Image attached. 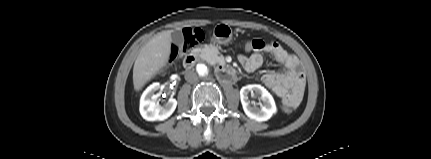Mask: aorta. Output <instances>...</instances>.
<instances>
[{
	"label": "aorta",
	"instance_id": "aorta-1",
	"mask_svg": "<svg viewBox=\"0 0 431 159\" xmlns=\"http://www.w3.org/2000/svg\"><path fill=\"white\" fill-rule=\"evenodd\" d=\"M196 70L201 77H207L209 75V72H210L209 66L205 63L197 64Z\"/></svg>",
	"mask_w": 431,
	"mask_h": 159
}]
</instances>
